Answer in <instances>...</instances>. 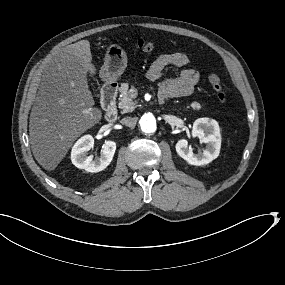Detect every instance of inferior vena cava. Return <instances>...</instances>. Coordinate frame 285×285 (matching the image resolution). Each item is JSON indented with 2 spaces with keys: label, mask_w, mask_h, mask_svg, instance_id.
Masks as SVG:
<instances>
[{
  "label": "inferior vena cava",
  "mask_w": 285,
  "mask_h": 285,
  "mask_svg": "<svg viewBox=\"0 0 285 285\" xmlns=\"http://www.w3.org/2000/svg\"><path fill=\"white\" fill-rule=\"evenodd\" d=\"M121 123L129 128H135L136 123H137V118L136 117H124L123 119H121Z\"/></svg>",
  "instance_id": "602c4592"
}]
</instances>
